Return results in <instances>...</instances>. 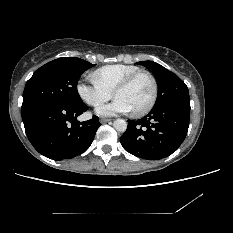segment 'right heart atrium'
Returning a JSON list of instances; mask_svg holds the SVG:
<instances>
[{"label":"right heart atrium","mask_w":233,"mask_h":233,"mask_svg":"<svg viewBox=\"0 0 233 233\" xmlns=\"http://www.w3.org/2000/svg\"><path fill=\"white\" fill-rule=\"evenodd\" d=\"M76 89L79 97L93 107H99L112 97L111 91L93 80L90 84L78 83Z\"/></svg>","instance_id":"d8ad5b80"}]
</instances>
